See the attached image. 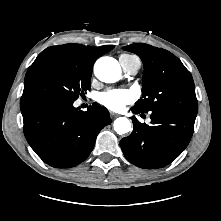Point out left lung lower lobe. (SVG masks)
<instances>
[{
  "instance_id": "1",
  "label": "left lung lower lobe",
  "mask_w": 221,
  "mask_h": 221,
  "mask_svg": "<svg viewBox=\"0 0 221 221\" xmlns=\"http://www.w3.org/2000/svg\"><path fill=\"white\" fill-rule=\"evenodd\" d=\"M134 113H140L133 109ZM196 116L173 110L151 111L152 125L133 117V132L120 141L124 156L140 168H161L189 144Z\"/></svg>"
}]
</instances>
